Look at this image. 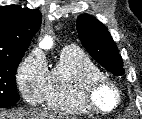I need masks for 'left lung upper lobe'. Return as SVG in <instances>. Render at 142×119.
Instances as JSON below:
<instances>
[{"mask_svg":"<svg viewBox=\"0 0 142 119\" xmlns=\"http://www.w3.org/2000/svg\"><path fill=\"white\" fill-rule=\"evenodd\" d=\"M77 31L87 52L115 76L124 74L123 62L107 28L91 15L77 18Z\"/></svg>","mask_w":142,"mask_h":119,"instance_id":"1","label":"left lung upper lobe"}]
</instances>
